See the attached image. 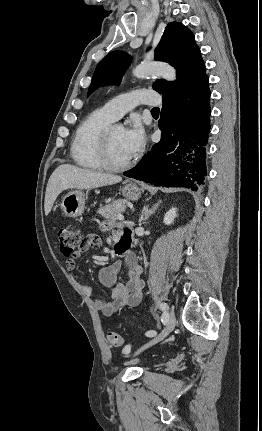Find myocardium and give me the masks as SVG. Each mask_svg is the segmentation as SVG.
<instances>
[{"mask_svg":"<svg viewBox=\"0 0 262 431\" xmlns=\"http://www.w3.org/2000/svg\"><path fill=\"white\" fill-rule=\"evenodd\" d=\"M114 127L115 126L110 125L102 133L100 142V159L105 169L110 171H123L132 167L135 161L131 159L125 163L117 164L112 160L110 141Z\"/></svg>","mask_w":262,"mask_h":431,"instance_id":"myocardium-1","label":"myocardium"}]
</instances>
